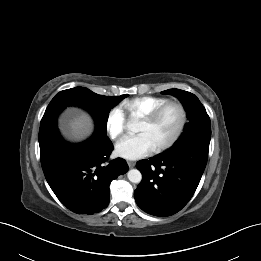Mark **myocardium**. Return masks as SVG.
I'll list each match as a JSON object with an SVG mask.
<instances>
[{"label":"myocardium","instance_id":"1","mask_svg":"<svg viewBox=\"0 0 261 261\" xmlns=\"http://www.w3.org/2000/svg\"><path fill=\"white\" fill-rule=\"evenodd\" d=\"M169 108H175L179 113V123L178 126L173 133V135L162 144L156 146L153 148L154 153L162 152L170 147H172L182 136L187 122H188V115L186 108L182 103L175 100H168L164 104L160 105L159 107L155 108L153 111L148 113L147 115L143 116L139 119L140 122L146 123V124H153L155 123L162 115L163 113L169 109Z\"/></svg>","mask_w":261,"mask_h":261}]
</instances>
